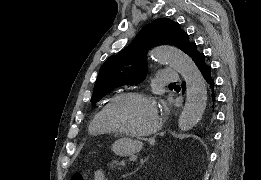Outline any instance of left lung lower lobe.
<instances>
[{
  "label": "left lung lower lobe",
  "instance_id": "0a47b994",
  "mask_svg": "<svg viewBox=\"0 0 261 180\" xmlns=\"http://www.w3.org/2000/svg\"><path fill=\"white\" fill-rule=\"evenodd\" d=\"M188 55L193 59L199 70L201 71L204 79L207 81V83L210 86L211 89V100L212 102H215V94H214V80L211 76V67L206 64L205 62V56L203 53H199L197 51V46L194 44L191 49L189 50ZM213 109H214V103H213ZM214 111V110H213Z\"/></svg>",
  "mask_w": 261,
  "mask_h": 180
}]
</instances>
